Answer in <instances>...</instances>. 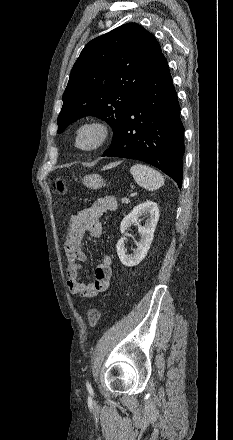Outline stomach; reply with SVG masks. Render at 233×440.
Masks as SVG:
<instances>
[{
	"label": "stomach",
	"mask_w": 233,
	"mask_h": 440,
	"mask_svg": "<svg viewBox=\"0 0 233 440\" xmlns=\"http://www.w3.org/2000/svg\"><path fill=\"white\" fill-rule=\"evenodd\" d=\"M82 182L86 187L93 190L99 189L105 185L104 179L102 178V176L98 174L86 175L82 179Z\"/></svg>",
	"instance_id": "stomach-1"
}]
</instances>
